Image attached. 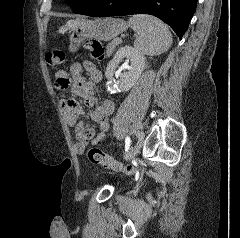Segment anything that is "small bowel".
Returning a JSON list of instances; mask_svg holds the SVG:
<instances>
[{
	"label": "small bowel",
	"instance_id": "c3829d8e",
	"mask_svg": "<svg viewBox=\"0 0 240 238\" xmlns=\"http://www.w3.org/2000/svg\"><path fill=\"white\" fill-rule=\"evenodd\" d=\"M86 71L88 78L82 73ZM102 80V73L90 61L74 63L70 67V72L58 71L54 76L53 87L56 91L71 88L74 96L83 99L88 108H93L87 112L80 103L73 97L60 99V106L65 113L68 125L73 129L76 137L74 149L78 154H82L89 142L98 144L105 139V133L109 129L110 119L114 112V104L110 100H103L97 103L91 91L95 83ZM89 117L94 122H78L79 118Z\"/></svg>",
	"mask_w": 240,
	"mask_h": 238
}]
</instances>
